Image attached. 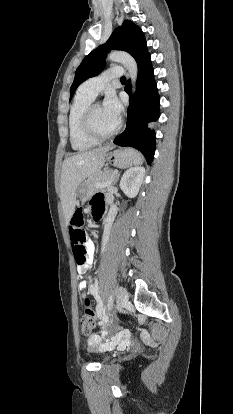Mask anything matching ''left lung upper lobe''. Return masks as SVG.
<instances>
[{
	"label": "left lung upper lobe",
	"instance_id": "5c2ea615",
	"mask_svg": "<svg viewBox=\"0 0 233 414\" xmlns=\"http://www.w3.org/2000/svg\"><path fill=\"white\" fill-rule=\"evenodd\" d=\"M111 49L124 50L131 54L137 64L149 56L142 30L129 20L116 28L108 41L89 53L75 72L70 88V100L77 87L90 77L97 76L103 69L105 57Z\"/></svg>",
	"mask_w": 233,
	"mask_h": 414
}]
</instances>
